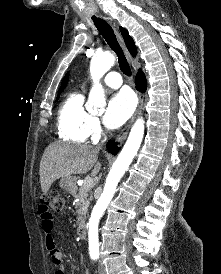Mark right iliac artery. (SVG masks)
Returning a JSON list of instances; mask_svg holds the SVG:
<instances>
[{"label":"right iliac artery","mask_w":221,"mask_h":274,"mask_svg":"<svg viewBox=\"0 0 221 274\" xmlns=\"http://www.w3.org/2000/svg\"><path fill=\"white\" fill-rule=\"evenodd\" d=\"M92 259H93V260H95V259H96V257H92Z\"/></svg>","instance_id":"82829eb1"}]
</instances>
